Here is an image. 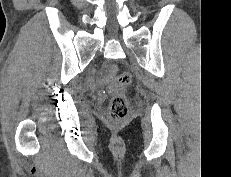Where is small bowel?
Segmentation results:
<instances>
[{
    "mask_svg": "<svg viewBox=\"0 0 231 177\" xmlns=\"http://www.w3.org/2000/svg\"><path fill=\"white\" fill-rule=\"evenodd\" d=\"M116 72H117V67L114 66V65H111V66L108 68V75L105 76V77H103V78L101 79V83H102L103 85L106 84V83L109 81L110 77H111L112 75H114Z\"/></svg>",
    "mask_w": 231,
    "mask_h": 177,
    "instance_id": "small-bowel-1",
    "label": "small bowel"
}]
</instances>
